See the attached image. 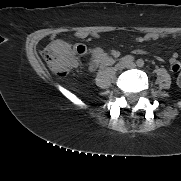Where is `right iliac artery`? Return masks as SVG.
<instances>
[{
	"mask_svg": "<svg viewBox=\"0 0 181 181\" xmlns=\"http://www.w3.org/2000/svg\"><path fill=\"white\" fill-rule=\"evenodd\" d=\"M124 63H132L134 61V57L131 55H126L121 59Z\"/></svg>",
	"mask_w": 181,
	"mask_h": 181,
	"instance_id": "1",
	"label": "right iliac artery"
}]
</instances>
